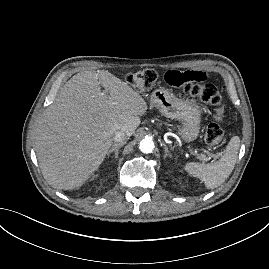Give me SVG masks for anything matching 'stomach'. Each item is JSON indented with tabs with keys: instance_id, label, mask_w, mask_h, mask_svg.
<instances>
[{
	"instance_id": "0dacf381",
	"label": "stomach",
	"mask_w": 269,
	"mask_h": 269,
	"mask_svg": "<svg viewBox=\"0 0 269 269\" xmlns=\"http://www.w3.org/2000/svg\"><path fill=\"white\" fill-rule=\"evenodd\" d=\"M150 107L156 108L167 118L181 122L178 133L184 142H192L198 137L201 110L195 102L178 98L168 90L159 88L151 94Z\"/></svg>"
}]
</instances>
